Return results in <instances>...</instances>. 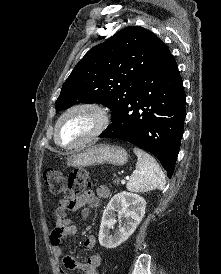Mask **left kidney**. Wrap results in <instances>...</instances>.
<instances>
[{"instance_id": "left-kidney-1", "label": "left kidney", "mask_w": 221, "mask_h": 274, "mask_svg": "<svg viewBox=\"0 0 221 274\" xmlns=\"http://www.w3.org/2000/svg\"><path fill=\"white\" fill-rule=\"evenodd\" d=\"M145 208V199L137 194L123 191L114 195L103 212L99 231L100 245L113 249L125 242L142 221ZM115 212H118L119 227L114 235H110L109 230L117 222ZM121 217L124 218L122 225Z\"/></svg>"}]
</instances>
